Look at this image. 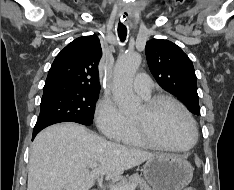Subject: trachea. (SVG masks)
<instances>
[{"instance_id":"obj_1","label":"trachea","mask_w":234,"mask_h":190,"mask_svg":"<svg viewBox=\"0 0 234 190\" xmlns=\"http://www.w3.org/2000/svg\"><path fill=\"white\" fill-rule=\"evenodd\" d=\"M118 36L122 42L125 41L127 36V28L125 25H123L121 22L118 23Z\"/></svg>"}]
</instances>
